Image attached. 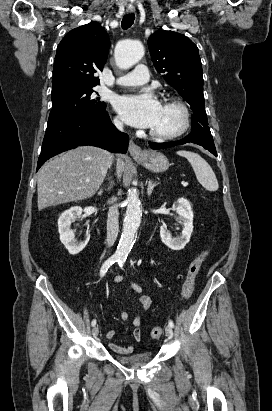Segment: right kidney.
Listing matches in <instances>:
<instances>
[{"label": "right kidney", "instance_id": "ca27d5eb", "mask_svg": "<svg viewBox=\"0 0 272 411\" xmlns=\"http://www.w3.org/2000/svg\"><path fill=\"white\" fill-rule=\"evenodd\" d=\"M82 214V208L79 206L71 207L64 211L58 219V231L60 240L71 255L81 252L89 241V236L84 242L78 243L74 238L71 230V223Z\"/></svg>", "mask_w": 272, "mask_h": 411}]
</instances>
